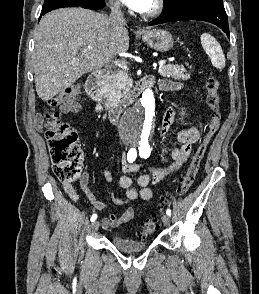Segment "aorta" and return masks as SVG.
Here are the masks:
<instances>
[{"label":"aorta","instance_id":"762f6f07","mask_svg":"<svg viewBox=\"0 0 259 294\" xmlns=\"http://www.w3.org/2000/svg\"><path fill=\"white\" fill-rule=\"evenodd\" d=\"M155 127V99L151 89L143 91L138 104L123 116L120 129L135 142L151 141Z\"/></svg>","mask_w":259,"mask_h":294}]
</instances>
